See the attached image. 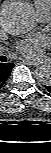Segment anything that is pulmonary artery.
<instances>
[{
  "mask_svg": "<svg viewBox=\"0 0 51 153\" xmlns=\"http://www.w3.org/2000/svg\"><path fill=\"white\" fill-rule=\"evenodd\" d=\"M39 16L40 21L46 22L49 20L50 14L48 12L42 13Z\"/></svg>",
  "mask_w": 51,
  "mask_h": 153,
  "instance_id": "1",
  "label": "pulmonary artery"
}]
</instances>
